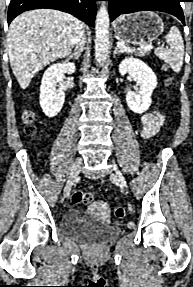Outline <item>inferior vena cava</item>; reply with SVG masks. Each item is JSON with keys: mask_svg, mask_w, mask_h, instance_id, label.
<instances>
[{"mask_svg": "<svg viewBox=\"0 0 193 287\" xmlns=\"http://www.w3.org/2000/svg\"><path fill=\"white\" fill-rule=\"evenodd\" d=\"M85 34H84V26L81 22H79V28L75 37V44L77 45V48H79L81 51L84 48L85 45Z\"/></svg>", "mask_w": 193, "mask_h": 287, "instance_id": "obj_1", "label": "inferior vena cava"}]
</instances>
